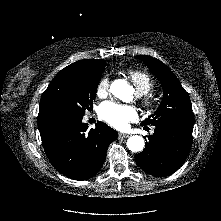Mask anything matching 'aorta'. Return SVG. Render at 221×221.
Instances as JSON below:
<instances>
[{
	"mask_svg": "<svg viewBox=\"0 0 221 221\" xmlns=\"http://www.w3.org/2000/svg\"><path fill=\"white\" fill-rule=\"evenodd\" d=\"M110 92L115 97L126 101L131 98L134 90L125 79H117L111 84ZM144 146V139L139 135L130 136L127 140V147L132 152H140L144 149Z\"/></svg>",
	"mask_w": 221,
	"mask_h": 221,
	"instance_id": "762f6f07",
	"label": "aorta"
}]
</instances>
